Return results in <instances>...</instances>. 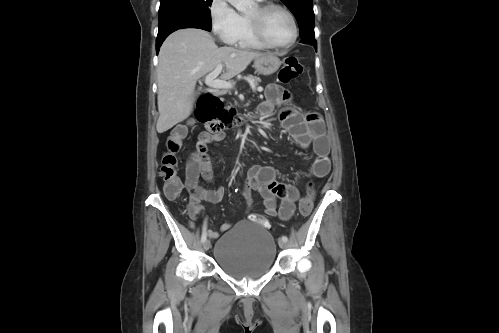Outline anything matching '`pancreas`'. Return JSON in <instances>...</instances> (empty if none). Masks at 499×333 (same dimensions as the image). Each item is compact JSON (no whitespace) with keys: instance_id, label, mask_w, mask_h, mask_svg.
<instances>
[{"instance_id":"obj_1","label":"pancreas","mask_w":499,"mask_h":333,"mask_svg":"<svg viewBox=\"0 0 499 333\" xmlns=\"http://www.w3.org/2000/svg\"><path fill=\"white\" fill-rule=\"evenodd\" d=\"M248 79L252 82L253 86L257 87L261 82V79L257 76L248 75Z\"/></svg>"}]
</instances>
